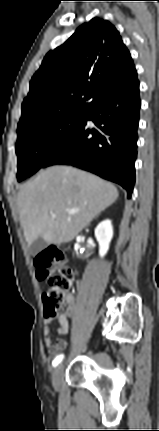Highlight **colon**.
I'll return each instance as SVG.
<instances>
[{"mask_svg":"<svg viewBox=\"0 0 159 431\" xmlns=\"http://www.w3.org/2000/svg\"><path fill=\"white\" fill-rule=\"evenodd\" d=\"M63 258V253L55 247L43 249L34 258L37 277L49 279L48 287L43 294L45 314L49 318L55 317L61 309L66 293L74 279L73 271L66 266H62L58 273L51 275Z\"/></svg>","mask_w":159,"mask_h":431,"instance_id":"1","label":"colon"}]
</instances>
